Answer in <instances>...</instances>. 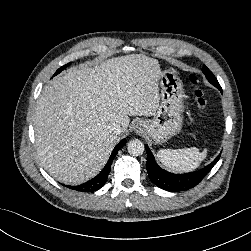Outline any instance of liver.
Returning <instances> with one entry per match:
<instances>
[{
	"label": "liver",
	"mask_w": 251,
	"mask_h": 251,
	"mask_svg": "<svg viewBox=\"0 0 251 251\" xmlns=\"http://www.w3.org/2000/svg\"><path fill=\"white\" fill-rule=\"evenodd\" d=\"M158 60L130 54L94 67H73L46 85L34 116L36 148L45 170L60 182L96 176L116 144L113 123L152 116L160 102Z\"/></svg>",
	"instance_id": "1"
}]
</instances>
